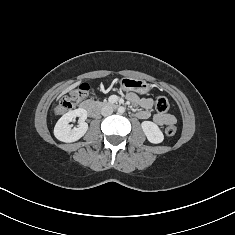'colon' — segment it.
Returning a JSON list of instances; mask_svg holds the SVG:
<instances>
[{"instance_id":"1","label":"colon","mask_w":235,"mask_h":235,"mask_svg":"<svg viewBox=\"0 0 235 235\" xmlns=\"http://www.w3.org/2000/svg\"><path fill=\"white\" fill-rule=\"evenodd\" d=\"M88 94L89 86L87 84L79 86L60 100V102L55 107V113L63 114L71 111L77 106L79 102L87 98ZM155 107L159 113L165 114L170 108L169 100L164 96H160L156 99ZM176 132L177 128L175 125H169L165 128V134L167 136H173L176 134Z\"/></svg>"}]
</instances>
